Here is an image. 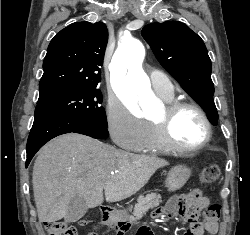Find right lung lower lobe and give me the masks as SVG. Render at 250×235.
<instances>
[{
	"label": "right lung lower lobe",
	"instance_id": "1",
	"mask_svg": "<svg viewBox=\"0 0 250 235\" xmlns=\"http://www.w3.org/2000/svg\"><path fill=\"white\" fill-rule=\"evenodd\" d=\"M80 133L96 139H105L109 136L107 127L84 121L78 118L41 115L34 118V123L27 141L26 167L35 153L52 138L65 133Z\"/></svg>",
	"mask_w": 250,
	"mask_h": 235
}]
</instances>
